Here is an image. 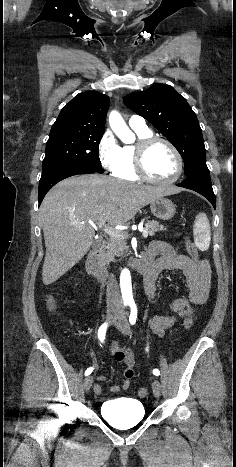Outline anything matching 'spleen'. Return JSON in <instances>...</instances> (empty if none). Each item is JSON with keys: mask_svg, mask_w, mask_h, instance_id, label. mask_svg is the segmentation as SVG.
<instances>
[{"mask_svg": "<svg viewBox=\"0 0 236 467\" xmlns=\"http://www.w3.org/2000/svg\"><path fill=\"white\" fill-rule=\"evenodd\" d=\"M193 235L196 247L201 251L208 250L211 240V230L206 214L200 213L196 216Z\"/></svg>", "mask_w": 236, "mask_h": 467, "instance_id": "obj_1", "label": "spleen"}]
</instances>
